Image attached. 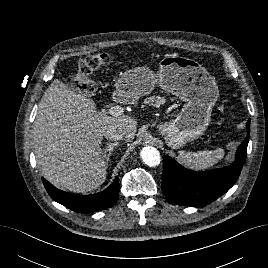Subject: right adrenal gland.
I'll return each instance as SVG.
<instances>
[{
    "label": "right adrenal gland",
    "instance_id": "obj_1",
    "mask_svg": "<svg viewBox=\"0 0 268 268\" xmlns=\"http://www.w3.org/2000/svg\"><path fill=\"white\" fill-rule=\"evenodd\" d=\"M117 145H118V142L108 143L106 147L102 149V156L103 158H105L106 165H108L112 152L114 151V147Z\"/></svg>",
    "mask_w": 268,
    "mask_h": 268
}]
</instances>
